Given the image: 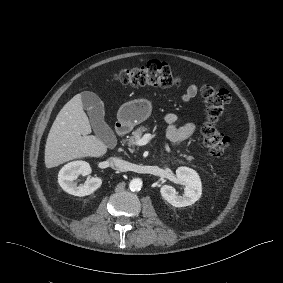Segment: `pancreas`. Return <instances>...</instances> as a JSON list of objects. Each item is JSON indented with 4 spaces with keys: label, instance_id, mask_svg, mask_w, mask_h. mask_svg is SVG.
Returning <instances> with one entry per match:
<instances>
[{
    "label": "pancreas",
    "instance_id": "pancreas-1",
    "mask_svg": "<svg viewBox=\"0 0 283 283\" xmlns=\"http://www.w3.org/2000/svg\"><path fill=\"white\" fill-rule=\"evenodd\" d=\"M147 130L148 128L146 126H140L139 128H137L134 132H132V136L129 138V143L133 144V142L135 140H138Z\"/></svg>",
    "mask_w": 283,
    "mask_h": 283
}]
</instances>
